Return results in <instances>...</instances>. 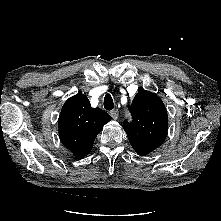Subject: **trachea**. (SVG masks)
<instances>
[{
    "label": "trachea",
    "instance_id": "1",
    "mask_svg": "<svg viewBox=\"0 0 221 221\" xmlns=\"http://www.w3.org/2000/svg\"><path fill=\"white\" fill-rule=\"evenodd\" d=\"M104 108L106 110H112L114 108V102L110 94H106L104 97Z\"/></svg>",
    "mask_w": 221,
    "mask_h": 221
}]
</instances>
